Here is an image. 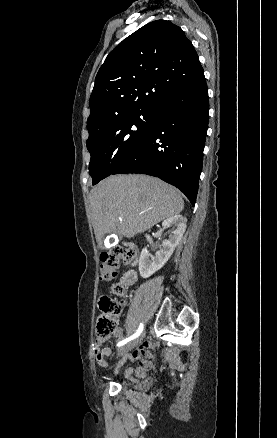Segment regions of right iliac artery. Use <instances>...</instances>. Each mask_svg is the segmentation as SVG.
I'll return each mask as SVG.
<instances>
[{
	"instance_id": "right-iliac-artery-1",
	"label": "right iliac artery",
	"mask_w": 277,
	"mask_h": 438,
	"mask_svg": "<svg viewBox=\"0 0 277 438\" xmlns=\"http://www.w3.org/2000/svg\"><path fill=\"white\" fill-rule=\"evenodd\" d=\"M142 331H143V324L141 323L140 326H139V328L136 330V332H135L132 336H130V337H128V338H126V339H124V340L118 342L117 346H118V347L123 346V345H125L127 342H129V341H131V340L137 338V337L141 334Z\"/></svg>"
}]
</instances>
